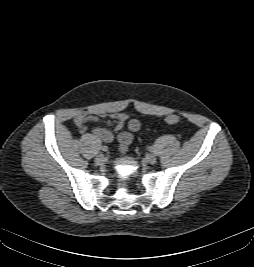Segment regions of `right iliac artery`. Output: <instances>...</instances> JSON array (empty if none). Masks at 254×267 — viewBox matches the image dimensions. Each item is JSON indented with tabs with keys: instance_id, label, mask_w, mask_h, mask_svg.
I'll use <instances>...</instances> for the list:
<instances>
[{
	"instance_id": "right-iliac-artery-1",
	"label": "right iliac artery",
	"mask_w": 254,
	"mask_h": 267,
	"mask_svg": "<svg viewBox=\"0 0 254 267\" xmlns=\"http://www.w3.org/2000/svg\"><path fill=\"white\" fill-rule=\"evenodd\" d=\"M101 150H102V151H108V147H107V146H102V147H101Z\"/></svg>"
}]
</instances>
